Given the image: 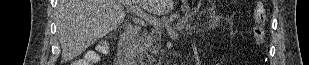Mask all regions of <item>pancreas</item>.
<instances>
[{"label":"pancreas","instance_id":"cf45deb5","mask_svg":"<svg viewBox=\"0 0 309 65\" xmlns=\"http://www.w3.org/2000/svg\"><path fill=\"white\" fill-rule=\"evenodd\" d=\"M160 28L152 29L150 32H145L137 40V50L142 53H147L149 50L152 54L158 51L160 45Z\"/></svg>","mask_w":309,"mask_h":65}]
</instances>
